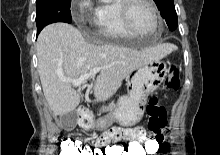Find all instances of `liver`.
<instances>
[{
  "label": "liver",
  "instance_id": "liver-1",
  "mask_svg": "<svg viewBox=\"0 0 220 155\" xmlns=\"http://www.w3.org/2000/svg\"><path fill=\"white\" fill-rule=\"evenodd\" d=\"M36 49L45 99L53 115L62 116L74 111L80 103V95L73 89V84L62 81V78L77 79L93 68L101 67L94 82V96L105 101L134 70L166 57L174 47L165 44L133 50L111 44L97 46L86 42L74 26L53 23L40 32Z\"/></svg>",
  "mask_w": 220,
  "mask_h": 155
}]
</instances>
